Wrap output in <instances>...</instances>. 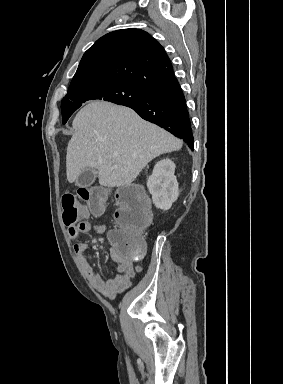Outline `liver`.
Segmentation results:
<instances>
[{
  "label": "liver",
  "instance_id": "1",
  "mask_svg": "<svg viewBox=\"0 0 283 384\" xmlns=\"http://www.w3.org/2000/svg\"><path fill=\"white\" fill-rule=\"evenodd\" d=\"M72 126L75 132L66 156L70 184L85 168H95L100 186H129L151 160L177 152L183 144L163 128L142 120L131 108L103 100L88 102Z\"/></svg>",
  "mask_w": 283,
  "mask_h": 384
}]
</instances>
